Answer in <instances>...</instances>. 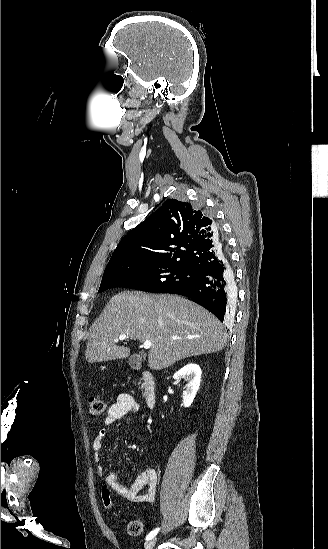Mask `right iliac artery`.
<instances>
[{
	"label": "right iliac artery",
	"mask_w": 328,
	"mask_h": 549,
	"mask_svg": "<svg viewBox=\"0 0 328 549\" xmlns=\"http://www.w3.org/2000/svg\"><path fill=\"white\" fill-rule=\"evenodd\" d=\"M158 531H159V528H157V529L151 531V532L146 536V540H149V539L153 538V537L158 533Z\"/></svg>",
	"instance_id": "1"
}]
</instances>
